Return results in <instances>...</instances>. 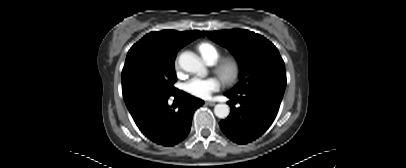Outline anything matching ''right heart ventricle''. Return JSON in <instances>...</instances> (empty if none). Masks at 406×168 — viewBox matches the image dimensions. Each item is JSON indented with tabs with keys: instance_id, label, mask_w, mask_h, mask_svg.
Listing matches in <instances>:
<instances>
[{
	"instance_id": "right-heart-ventricle-1",
	"label": "right heart ventricle",
	"mask_w": 406,
	"mask_h": 168,
	"mask_svg": "<svg viewBox=\"0 0 406 168\" xmlns=\"http://www.w3.org/2000/svg\"><path fill=\"white\" fill-rule=\"evenodd\" d=\"M197 49L203 59L209 64L215 63L221 55L220 50L210 42L199 43Z\"/></svg>"
}]
</instances>
